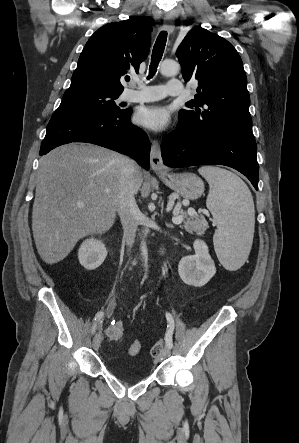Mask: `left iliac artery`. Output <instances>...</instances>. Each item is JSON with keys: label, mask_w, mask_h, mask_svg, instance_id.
<instances>
[{"label": "left iliac artery", "mask_w": 299, "mask_h": 443, "mask_svg": "<svg viewBox=\"0 0 299 443\" xmlns=\"http://www.w3.org/2000/svg\"><path fill=\"white\" fill-rule=\"evenodd\" d=\"M166 319L168 322V326H167V331L165 334V340H166L167 346L172 348L173 347L172 335H173V331H174V319L170 313H166Z\"/></svg>", "instance_id": "obj_1"}]
</instances>
